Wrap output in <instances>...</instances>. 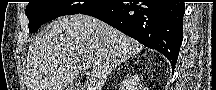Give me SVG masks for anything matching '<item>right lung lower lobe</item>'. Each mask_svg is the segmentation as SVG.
<instances>
[{"label":"right lung lower lobe","mask_w":216,"mask_h":90,"mask_svg":"<svg viewBox=\"0 0 216 90\" xmlns=\"http://www.w3.org/2000/svg\"><path fill=\"white\" fill-rule=\"evenodd\" d=\"M184 2H111L81 14L98 18L162 53L174 69L183 40Z\"/></svg>","instance_id":"right-lung-lower-lobe-1"}]
</instances>
